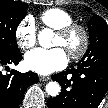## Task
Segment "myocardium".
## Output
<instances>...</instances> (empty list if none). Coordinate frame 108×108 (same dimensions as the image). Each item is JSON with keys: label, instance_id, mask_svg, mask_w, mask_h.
<instances>
[{"label": "myocardium", "instance_id": "obj_1", "mask_svg": "<svg viewBox=\"0 0 108 108\" xmlns=\"http://www.w3.org/2000/svg\"><path fill=\"white\" fill-rule=\"evenodd\" d=\"M57 35L64 41L68 40L73 35H78L81 38L80 46L68 52L71 59L78 60L86 54L90 45V36L88 30L83 25L72 23L57 30Z\"/></svg>", "mask_w": 108, "mask_h": 108}]
</instances>
